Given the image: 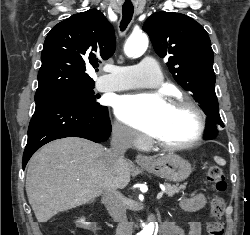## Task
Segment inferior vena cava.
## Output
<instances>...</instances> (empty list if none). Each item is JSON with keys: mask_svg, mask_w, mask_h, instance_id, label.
<instances>
[{"mask_svg": "<svg viewBox=\"0 0 250 235\" xmlns=\"http://www.w3.org/2000/svg\"><path fill=\"white\" fill-rule=\"evenodd\" d=\"M132 131L121 125L115 124L112 128L110 149H105L103 160L110 170H113L124 160V153L131 146ZM119 192L113 188L105 192L103 201L111 217L118 222L116 235H132L133 226L127 220L126 210L119 206Z\"/></svg>", "mask_w": 250, "mask_h": 235, "instance_id": "obj_1", "label": "inferior vena cava"}]
</instances>
